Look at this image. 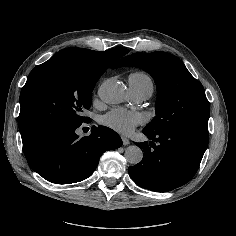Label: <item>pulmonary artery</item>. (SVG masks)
Listing matches in <instances>:
<instances>
[{
	"label": "pulmonary artery",
	"instance_id": "1",
	"mask_svg": "<svg viewBox=\"0 0 236 236\" xmlns=\"http://www.w3.org/2000/svg\"><path fill=\"white\" fill-rule=\"evenodd\" d=\"M131 93H132V98L136 103H140V102L148 99V97H149L146 93L141 92V91L133 90Z\"/></svg>",
	"mask_w": 236,
	"mask_h": 236
}]
</instances>
